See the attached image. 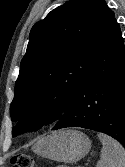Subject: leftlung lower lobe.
I'll use <instances>...</instances> for the list:
<instances>
[{
	"instance_id": "left-lung-lower-lobe-1",
	"label": "left lung lower lobe",
	"mask_w": 125,
	"mask_h": 167,
	"mask_svg": "<svg viewBox=\"0 0 125 167\" xmlns=\"http://www.w3.org/2000/svg\"><path fill=\"white\" fill-rule=\"evenodd\" d=\"M66 127L103 132L125 147V46L115 19L88 74L52 130Z\"/></svg>"
}]
</instances>
